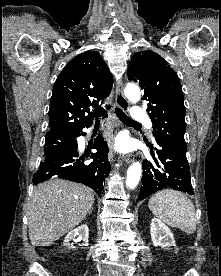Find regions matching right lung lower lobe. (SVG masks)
<instances>
[{
    "label": "right lung lower lobe",
    "mask_w": 221,
    "mask_h": 276,
    "mask_svg": "<svg viewBox=\"0 0 221 276\" xmlns=\"http://www.w3.org/2000/svg\"><path fill=\"white\" fill-rule=\"evenodd\" d=\"M105 117H107L106 113H104ZM81 135H86V133L81 131L75 137ZM93 148L97 150L96 153L81 156L78 153L76 141L74 146L68 150L46 155L39 170L33 176V184L37 185L52 177H58L83 183L101 195L104 180L110 171V163L107 159L108 146L102 136L99 135ZM86 157L92 158L93 162L85 163Z\"/></svg>",
    "instance_id": "right-lung-lower-lobe-1"
}]
</instances>
